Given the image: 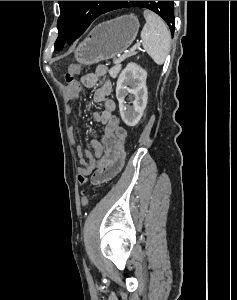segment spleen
<instances>
[{"instance_id":"1","label":"spleen","mask_w":237,"mask_h":300,"mask_svg":"<svg viewBox=\"0 0 237 300\" xmlns=\"http://www.w3.org/2000/svg\"><path fill=\"white\" fill-rule=\"evenodd\" d=\"M146 25L141 31L143 49L156 65H163L170 49L171 35L161 17L144 11Z\"/></svg>"}]
</instances>
